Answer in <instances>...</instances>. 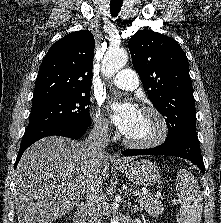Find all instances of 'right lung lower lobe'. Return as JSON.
<instances>
[{"mask_svg":"<svg viewBox=\"0 0 221 223\" xmlns=\"http://www.w3.org/2000/svg\"><path fill=\"white\" fill-rule=\"evenodd\" d=\"M87 129L88 127L73 126L65 123H50L33 129H26L14 167L16 168L23 152L37 140L52 135L79 139Z\"/></svg>","mask_w":221,"mask_h":223,"instance_id":"right-lung-lower-lobe-1","label":"right lung lower lobe"}]
</instances>
